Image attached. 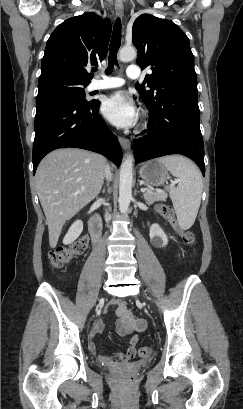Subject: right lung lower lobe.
Returning a JSON list of instances; mask_svg holds the SVG:
<instances>
[{
  "label": "right lung lower lobe",
  "mask_w": 243,
  "mask_h": 409,
  "mask_svg": "<svg viewBox=\"0 0 243 409\" xmlns=\"http://www.w3.org/2000/svg\"><path fill=\"white\" fill-rule=\"evenodd\" d=\"M99 100L81 103L73 99H49L37 103L33 174L41 159L52 150L75 147L106 156L117 166L121 146L99 115Z\"/></svg>",
  "instance_id": "obj_1"
}]
</instances>
